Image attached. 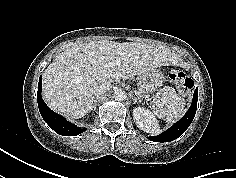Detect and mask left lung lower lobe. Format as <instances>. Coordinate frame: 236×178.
<instances>
[{"label":"left lung lower lobe","instance_id":"0a47b994","mask_svg":"<svg viewBox=\"0 0 236 178\" xmlns=\"http://www.w3.org/2000/svg\"><path fill=\"white\" fill-rule=\"evenodd\" d=\"M198 89L194 91L192 104L186 114L172 127L158 136H151L149 139L155 142H169L178 138L191 124L197 109Z\"/></svg>","mask_w":236,"mask_h":178}]
</instances>
